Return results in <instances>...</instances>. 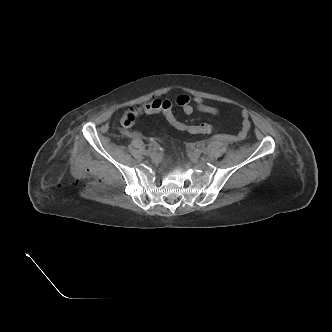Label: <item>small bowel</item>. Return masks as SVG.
Segmentation results:
<instances>
[{"label":"small bowel","mask_w":332,"mask_h":332,"mask_svg":"<svg viewBox=\"0 0 332 332\" xmlns=\"http://www.w3.org/2000/svg\"><path fill=\"white\" fill-rule=\"evenodd\" d=\"M175 102L178 106L181 107L185 115H191L195 110L211 115H216L219 113L216 107L206 104L203 98L199 96L190 97L187 94H180L176 97ZM241 117L242 122L240 130L237 134V140L245 139L251 127L248 112L243 111L241 113Z\"/></svg>","instance_id":"c3829d8e"}]
</instances>
